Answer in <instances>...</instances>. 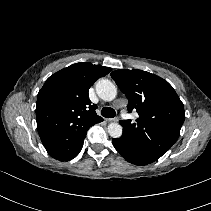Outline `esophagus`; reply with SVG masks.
<instances>
[{
    "mask_svg": "<svg viewBox=\"0 0 211 211\" xmlns=\"http://www.w3.org/2000/svg\"><path fill=\"white\" fill-rule=\"evenodd\" d=\"M107 121H109V122H118L119 121V119L118 118H108V119H106Z\"/></svg>",
    "mask_w": 211,
    "mask_h": 211,
    "instance_id": "34e87169",
    "label": "esophagus"
}]
</instances>
